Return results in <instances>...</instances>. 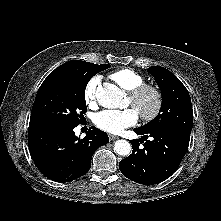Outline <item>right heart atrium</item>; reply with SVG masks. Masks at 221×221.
I'll use <instances>...</instances> for the list:
<instances>
[{
    "label": "right heart atrium",
    "instance_id": "d8ad5b80",
    "mask_svg": "<svg viewBox=\"0 0 221 221\" xmlns=\"http://www.w3.org/2000/svg\"><path fill=\"white\" fill-rule=\"evenodd\" d=\"M99 83L100 78L94 76L85 85L83 95L88 106H94L97 103Z\"/></svg>",
    "mask_w": 221,
    "mask_h": 221
}]
</instances>
